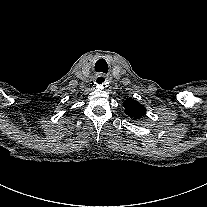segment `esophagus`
<instances>
[{
	"mask_svg": "<svg viewBox=\"0 0 207 207\" xmlns=\"http://www.w3.org/2000/svg\"><path fill=\"white\" fill-rule=\"evenodd\" d=\"M94 82L97 86L102 87L106 84L107 79L104 75L99 74L95 77Z\"/></svg>",
	"mask_w": 207,
	"mask_h": 207,
	"instance_id": "34e87169",
	"label": "esophagus"
}]
</instances>
